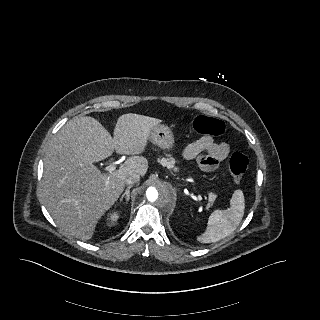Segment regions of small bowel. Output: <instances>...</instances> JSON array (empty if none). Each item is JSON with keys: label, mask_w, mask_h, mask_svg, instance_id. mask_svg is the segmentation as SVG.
I'll return each mask as SVG.
<instances>
[{"label": "small bowel", "mask_w": 320, "mask_h": 320, "mask_svg": "<svg viewBox=\"0 0 320 320\" xmlns=\"http://www.w3.org/2000/svg\"><path fill=\"white\" fill-rule=\"evenodd\" d=\"M229 153L227 143H218L212 136L206 135L188 144L183 150V157L187 160L197 158L203 171L213 172Z\"/></svg>", "instance_id": "1"}]
</instances>
